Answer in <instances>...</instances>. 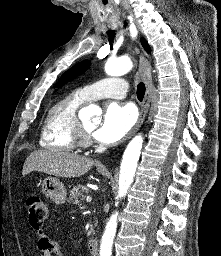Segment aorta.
I'll use <instances>...</instances> for the list:
<instances>
[{"mask_svg":"<svg viewBox=\"0 0 221 256\" xmlns=\"http://www.w3.org/2000/svg\"><path fill=\"white\" fill-rule=\"evenodd\" d=\"M133 67V63L128 57L110 59L105 64V72L109 76H121L128 73ZM98 110L96 105H89L83 111L88 114L96 113ZM143 137L135 136L126 147L119 174V189L117 198H122L126 195L130 185L133 182L140 152L142 149ZM118 212H115L110 217L102 236L100 246V256H111L113 239L117 228Z\"/></svg>","mask_w":221,"mask_h":256,"instance_id":"1","label":"aorta"}]
</instances>
